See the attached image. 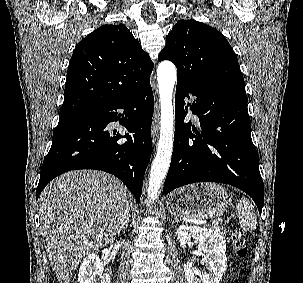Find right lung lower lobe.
Instances as JSON below:
<instances>
[{"mask_svg": "<svg viewBox=\"0 0 303 283\" xmlns=\"http://www.w3.org/2000/svg\"><path fill=\"white\" fill-rule=\"evenodd\" d=\"M153 110L154 97L148 82L125 97L60 117L52 146L42 164L36 199L44 187L62 173L96 169L118 177L139 202L151 157ZM114 121L127 129L124 136L108 129V124Z\"/></svg>", "mask_w": 303, "mask_h": 283, "instance_id": "obj_1", "label": "right lung lower lobe"}]
</instances>
